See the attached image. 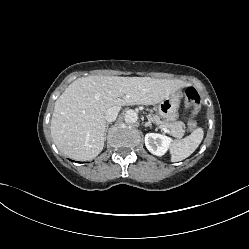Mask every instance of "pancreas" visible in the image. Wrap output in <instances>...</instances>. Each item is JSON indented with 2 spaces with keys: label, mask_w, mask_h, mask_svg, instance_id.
Returning <instances> with one entry per match:
<instances>
[{
  "label": "pancreas",
  "mask_w": 249,
  "mask_h": 249,
  "mask_svg": "<svg viewBox=\"0 0 249 249\" xmlns=\"http://www.w3.org/2000/svg\"><path fill=\"white\" fill-rule=\"evenodd\" d=\"M153 122L158 125L160 128H170V134L176 138H181L184 134V123L175 122L173 124H169L163 120L158 115H154L152 117Z\"/></svg>",
  "instance_id": "obj_1"
}]
</instances>
